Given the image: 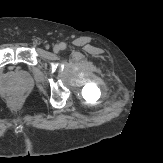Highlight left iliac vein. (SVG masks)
<instances>
[{
  "mask_svg": "<svg viewBox=\"0 0 163 163\" xmlns=\"http://www.w3.org/2000/svg\"><path fill=\"white\" fill-rule=\"evenodd\" d=\"M53 51H54L55 53H58V52L60 51V46L55 45V46L53 47Z\"/></svg>",
  "mask_w": 163,
  "mask_h": 163,
  "instance_id": "left-iliac-vein-1",
  "label": "left iliac vein"
}]
</instances>
